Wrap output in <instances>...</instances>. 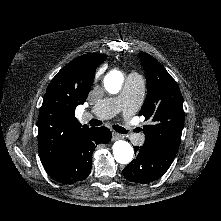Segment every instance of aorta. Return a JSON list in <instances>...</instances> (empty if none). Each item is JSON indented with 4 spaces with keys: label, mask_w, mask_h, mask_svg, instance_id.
Segmentation results:
<instances>
[{
    "label": "aorta",
    "mask_w": 221,
    "mask_h": 221,
    "mask_svg": "<svg viewBox=\"0 0 221 221\" xmlns=\"http://www.w3.org/2000/svg\"><path fill=\"white\" fill-rule=\"evenodd\" d=\"M123 75L119 71H110L104 78L105 89L116 94L120 91L123 84ZM113 154L115 160L121 164H128L133 159L134 151L132 146L124 140H118L113 144Z\"/></svg>",
    "instance_id": "1"
}]
</instances>
